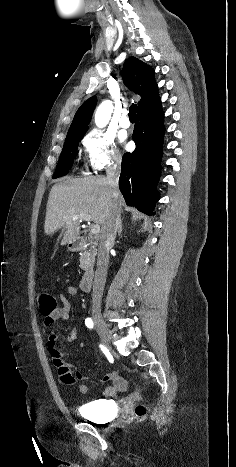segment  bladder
Returning <instances> with one entry per match:
<instances>
[{
  "instance_id": "obj_1",
  "label": "bladder",
  "mask_w": 236,
  "mask_h": 467,
  "mask_svg": "<svg viewBox=\"0 0 236 467\" xmlns=\"http://www.w3.org/2000/svg\"><path fill=\"white\" fill-rule=\"evenodd\" d=\"M110 404L111 402L109 399L93 400L82 407L80 414L88 420L101 422L105 420L107 416L113 414L115 407H111Z\"/></svg>"
}]
</instances>
